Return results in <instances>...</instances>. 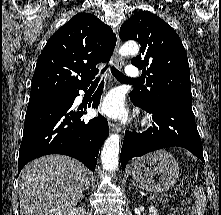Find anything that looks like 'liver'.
Here are the masks:
<instances>
[{
  "label": "liver",
  "mask_w": 221,
  "mask_h": 215,
  "mask_svg": "<svg viewBox=\"0 0 221 215\" xmlns=\"http://www.w3.org/2000/svg\"><path fill=\"white\" fill-rule=\"evenodd\" d=\"M88 180L78 160L47 155L27 164L20 173V215H65L73 210Z\"/></svg>",
  "instance_id": "obj_1"
}]
</instances>
